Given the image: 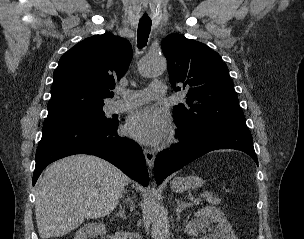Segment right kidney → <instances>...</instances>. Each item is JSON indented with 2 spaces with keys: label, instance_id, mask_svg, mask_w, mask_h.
I'll return each mask as SVG.
<instances>
[{
  "label": "right kidney",
  "instance_id": "right-kidney-1",
  "mask_svg": "<svg viewBox=\"0 0 304 239\" xmlns=\"http://www.w3.org/2000/svg\"><path fill=\"white\" fill-rule=\"evenodd\" d=\"M105 233V226L102 223L91 222L85 224L76 233L74 239H87L89 236L101 235Z\"/></svg>",
  "mask_w": 304,
  "mask_h": 239
}]
</instances>
